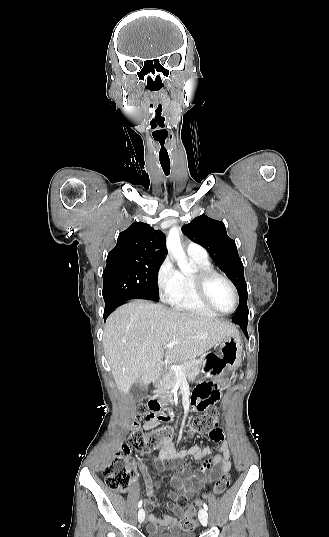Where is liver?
<instances>
[{"mask_svg": "<svg viewBox=\"0 0 329 537\" xmlns=\"http://www.w3.org/2000/svg\"><path fill=\"white\" fill-rule=\"evenodd\" d=\"M237 332L227 321L135 300L108 317L103 346L116 386L129 393L136 382L147 389L156 381L164 356L171 363L192 360ZM172 342L175 345L165 352V345Z\"/></svg>", "mask_w": 329, "mask_h": 537, "instance_id": "6515ba94", "label": "liver"}]
</instances>
